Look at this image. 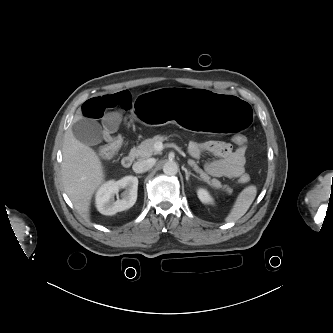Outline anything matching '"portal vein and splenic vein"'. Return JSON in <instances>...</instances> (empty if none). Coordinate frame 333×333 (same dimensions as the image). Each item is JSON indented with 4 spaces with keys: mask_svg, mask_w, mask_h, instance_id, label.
Returning <instances> with one entry per match:
<instances>
[{
    "mask_svg": "<svg viewBox=\"0 0 333 333\" xmlns=\"http://www.w3.org/2000/svg\"><path fill=\"white\" fill-rule=\"evenodd\" d=\"M154 147H155L156 151H161L163 149L164 145L162 144V142H157V143H155ZM167 147H173L177 151H179L181 154H183L181 149L175 144H167Z\"/></svg>",
    "mask_w": 333,
    "mask_h": 333,
    "instance_id": "obj_1",
    "label": "portal vein and splenic vein"
}]
</instances>
